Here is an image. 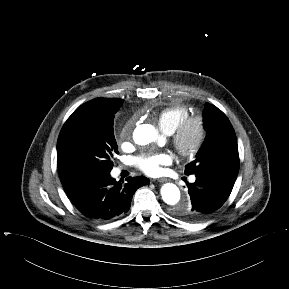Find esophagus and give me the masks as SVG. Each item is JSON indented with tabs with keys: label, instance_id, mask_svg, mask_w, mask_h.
<instances>
[{
	"label": "esophagus",
	"instance_id": "34e87169",
	"mask_svg": "<svg viewBox=\"0 0 289 289\" xmlns=\"http://www.w3.org/2000/svg\"><path fill=\"white\" fill-rule=\"evenodd\" d=\"M153 181L159 182V183H163L166 182L167 179L166 178H159V179H154Z\"/></svg>",
	"mask_w": 289,
	"mask_h": 289
}]
</instances>
